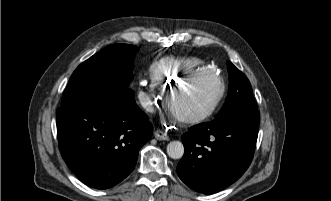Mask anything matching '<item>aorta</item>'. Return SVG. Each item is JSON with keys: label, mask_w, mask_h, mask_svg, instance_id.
Wrapping results in <instances>:
<instances>
[{"label": "aorta", "mask_w": 331, "mask_h": 201, "mask_svg": "<svg viewBox=\"0 0 331 201\" xmlns=\"http://www.w3.org/2000/svg\"><path fill=\"white\" fill-rule=\"evenodd\" d=\"M167 154L173 159L182 158L184 155V146L180 141H172L167 145Z\"/></svg>", "instance_id": "1"}]
</instances>
